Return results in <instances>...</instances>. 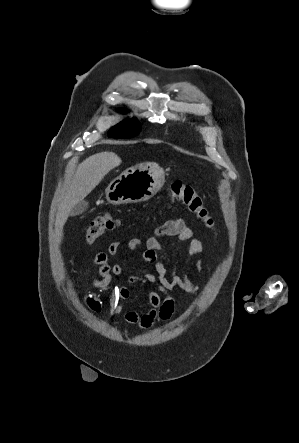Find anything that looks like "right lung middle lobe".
I'll return each instance as SVG.
<instances>
[{
	"label": "right lung middle lobe",
	"instance_id": "dd1d6c3e",
	"mask_svg": "<svg viewBox=\"0 0 299 443\" xmlns=\"http://www.w3.org/2000/svg\"><path fill=\"white\" fill-rule=\"evenodd\" d=\"M140 132V125L137 120H124L112 127L108 134L111 138H130Z\"/></svg>",
	"mask_w": 299,
	"mask_h": 443
}]
</instances>
